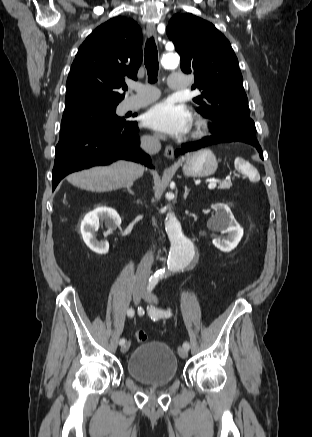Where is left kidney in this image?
<instances>
[{
    "instance_id": "5707ae66",
    "label": "left kidney",
    "mask_w": 312,
    "mask_h": 437,
    "mask_svg": "<svg viewBox=\"0 0 312 437\" xmlns=\"http://www.w3.org/2000/svg\"><path fill=\"white\" fill-rule=\"evenodd\" d=\"M216 213L209 219L207 226L212 231H220L227 234L226 237H215L213 244L223 252H230L240 242L243 237V228L234 218L230 208L226 204L217 203L213 205Z\"/></svg>"
}]
</instances>
